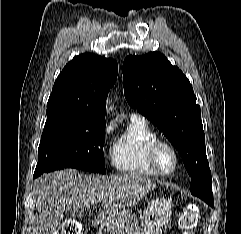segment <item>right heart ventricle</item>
<instances>
[{
	"instance_id": "1",
	"label": "right heart ventricle",
	"mask_w": 241,
	"mask_h": 234,
	"mask_svg": "<svg viewBox=\"0 0 241 234\" xmlns=\"http://www.w3.org/2000/svg\"><path fill=\"white\" fill-rule=\"evenodd\" d=\"M158 140L156 132L145 120H130L125 131L110 150L113 168L123 174L158 177L149 161V148Z\"/></svg>"
}]
</instances>
